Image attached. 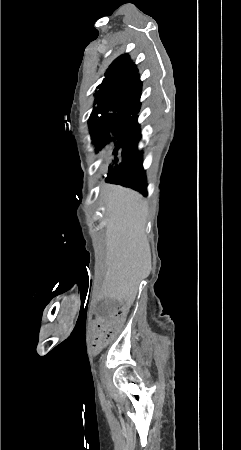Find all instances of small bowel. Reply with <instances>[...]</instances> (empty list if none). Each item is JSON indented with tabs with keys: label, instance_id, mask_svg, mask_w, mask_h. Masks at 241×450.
<instances>
[{
	"label": "small bowel",
	"instance_id": "obj_1",
	"mask_svg": "<svg viewBox=\"0 0 241 450\" xmlns=\"http://www.w3.org/2000/svg\"><path fill=\"white\" fill-rule=\"evenodd\" d=\"M119 310H113L112 311V318L113 319H125L126 318V313L128 312V302L126 300H121L119 302ZM101 317H105L106 313L105 312H101L100 313ZM94 327L92 329V334L95 335L94 339L91 341V346L93 348H98L100 346V344H106L109 343L111 340H113L114 336H116L118 334V329L117 327L119 326V323L117 321H114L112 323L113 327H110L109 329H107L106 335H100L102 333L101 328L103 327V322L101 320H96L94 322Z\"/></svg>",
	"mask_w": 241,
	"mask_h": 450
}]
</instances>
